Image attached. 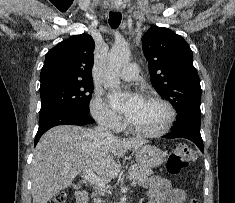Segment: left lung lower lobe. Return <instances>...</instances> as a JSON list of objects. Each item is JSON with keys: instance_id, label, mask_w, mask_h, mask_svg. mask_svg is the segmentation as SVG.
Masks as SVG:
<instances>
[{"instance_id": "0a47b994", "label": "left lung lower lobe", "mask_w": 235, "mask_h": 203, "mask_svg": "<svg viewBox=\"0 0 235 203\" xmlns=\"http://www.w3.org/2000/svg\"><path fill=\"white\" fill-rule=\"evenodd\" d=\"M164 138H186L194 142L198 148L204 153L203 140L200 134V121L194 119H187L177 122L172 128V131Z\"/></svg>"}]
</instances>
